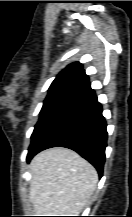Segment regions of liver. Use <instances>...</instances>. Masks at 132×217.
Instances as JSON below:
<instances>
[{"label": "liver", "instance_id": "1", "mask_svg": "<svg viewBox=\"0 0 132 217\" xmlns=\"http://www.w3.org/2000/svg\"><path fill=\"white\" fill-rule=\"evenodd\" d=\"M30 200L38 216H78L96 189L95 168L62 147L38 153L30 163Z\"/></svg>", "mask_w": 132, "mask_h": 217}]
</instances>
